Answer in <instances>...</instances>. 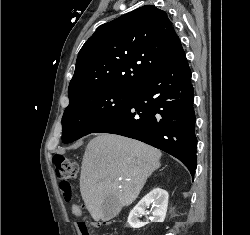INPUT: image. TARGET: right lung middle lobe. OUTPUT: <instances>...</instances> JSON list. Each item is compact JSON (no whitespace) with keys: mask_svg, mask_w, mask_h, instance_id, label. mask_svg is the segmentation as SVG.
Wrapping results in <instances>:
<instances>
[{"mask_svg":"<svg viewBox=\"0 0 250 235\" xmlns=\"http://www.w3.org/2000/svg\"><path fill=\"white\" fill-rule=\"evenodd\" d=\"M134 89L96 90L70 101L62 117L64 143L92 133L116 114L132 97Z\"/></svg>","mask_w":250,"mask_h":235,"instance_id":"1","label":"right lung middle lobe"}]
</instances>
